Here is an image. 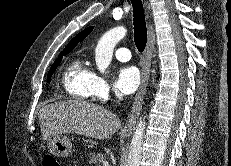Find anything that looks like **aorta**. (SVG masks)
Returning a JSON list of instances; mask_svg holds the SVG:
<instances>
[{"mask_svg":"<svg viewBox=\"0 0 231 166\" xmlns=\"http://www.w3.org/2000/svg\"><path fill=\"white\" fill-rule=\"evenodd\" d=\"M126 33L127 30L124 27L119 26L106 32L99 40L95 50V61L97 68L101 73H104L110 65L114 47L121 39L125 37ZM145 125V117H141L136 125L131 139L128 162L126 166L140 165Z\"/></svg>","mask_w":231,"mask_h":166,"instance_id":"obj_1","label":"aorta"}]
</instances>
